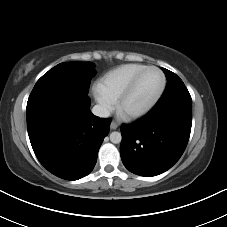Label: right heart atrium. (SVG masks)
Returning a JSON list of instances; mask_svg holds the SVG:
<instances>
[{
    "label": "right heart atrium",
    "mask_w": 227,
    "mask_h": 227,
    "mask_svg": "<svg viewBox=\"0 0 227 227\" xmlns=\"http://www.w3.org/2000/svg\"><path fill=\"white\" fill-rule=\"evenodd\" d=\"M96 100L104 112L110 111L115 104V101L99 88L96 91Z\"/></svg>",
    "instance_id": "obj_1"
}]
</instances>
